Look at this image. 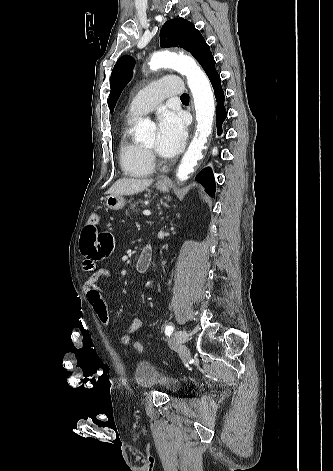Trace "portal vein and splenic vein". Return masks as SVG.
I'll list each match as a JSON object with an SVG mask.
<instances>
[{"label":"portal vein and splenic vein","mask_w":333,"mask_h":471,"mask_svg":"<svg viewBox=\"0 0 333 471\" xmlns=\"http://www.w3.org/2000/svg\"><path fill=\"white\" fill-rule=\"evenodd\" d=\"M143 215L145 216H150L151 215V212L149 210H144L143 211Z\"/></svg>","instance_id":"obj_1"}]
</instances>
